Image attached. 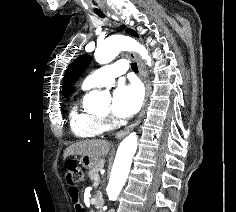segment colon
I'll return each mask as SVG.
<instances>
[{"instance_id": "obj_1", "label": "colon", "mask_w": 236, "mask_h": 212, "mask_svg": "<svg viewBox=\"0 0 236 212\" xmlns=\"http://www.w3.org/2000/svg\"><path fill=\"white\" fill-rule=\"evenodd\" d=\"M66 178L71 187H76L84 181L85 176L83 170L76 162H69L67 164ZM72 183H75V186H72Z\"/></svg>"}]
</instances>
